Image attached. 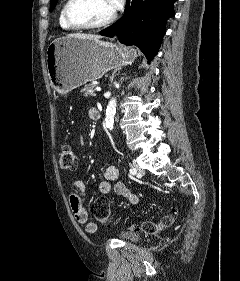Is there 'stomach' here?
<instances>
[{
  "instance_id": "stomach-1",
  "label": "stomach",
  "mask_w": 240,
  "mask_h": 281,
  "mask_svg": "<svg viewBox=\"0 0 240 281\" xmlns=\"http://www.w3.org/2000/svg\"><path fill=\"white\" fill-rule=\"evenodd\" d=\"M46 52L50 82L61 94L97 80L111 69L131 64L137 57L134 48L78 37L55 39Z\"/></svg>"
}]
</instances>
